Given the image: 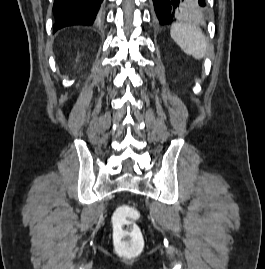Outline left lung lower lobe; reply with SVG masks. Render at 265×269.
Instances as JSON below:
<instances>
[{
  "label": "left lung lower lobe",
  "instance_id": "1",
  "mask_svg": "<svg viewBox=\"0 0 265 269\" xmlns=\"http://www.w3.org/2000/svg\"><path fill=\"white\" fill-rule=\"evenodd\" d=\"M153 4L160 25H169L176 20L200 19L207 14L206 0H153Z\"/></svg>",
  "mask_w": 265,
  "mask_h": 269
}]
</instances>
